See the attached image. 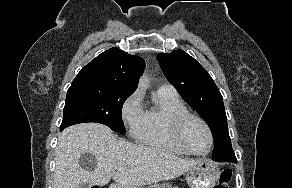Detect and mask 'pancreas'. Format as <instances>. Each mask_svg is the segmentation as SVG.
<instances>
[{"mask_svg":"<svg viewBox=\"0 0 292 188\" xmlns=\"http://www.w3.org/2000/svg\"><path fill=\"white\" fill-rule=\"evenodd\" d=\"M147 188H172V187L168 183H163V184L157 183V184H154V185H150ZM175 188H177V187H175Z\"/></svg>","mask_w":292,"mask_h":188,"instance_id":"pancreas-1","label":"pancreas"}]
</instances>
